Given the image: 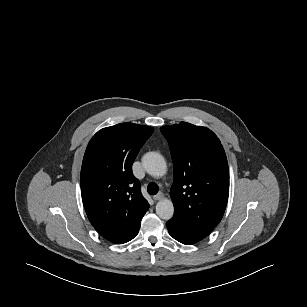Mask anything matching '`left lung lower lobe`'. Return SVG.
<instances>
[{"instance_id":"obj_1","label":"left lung lower lobe","mask_w":307,"mask_h":307,"mask_svg":"<svg viewBox=\"0 0 307 307\" xmlns=\"http://www.w3.org/2000/svg\"><path fill=\"white\" fill-rule=\"evenodd\" d=\"M166 225L169 234L183 244H194L204 238V236L189 230L181 222L174 218L169 220Z\"/></svg>"}]
</instances>
